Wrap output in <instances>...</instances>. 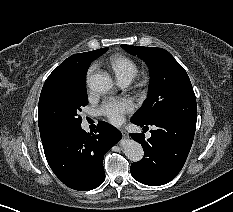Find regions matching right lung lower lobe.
<instances>
[{
	"instance_id": "obj_1",
	"label": "right lung lower lobe",
	"mask_w": 233,
	"mask_h": 212,
	"mask_svg": "<svg viewBox=\"0 0 233 212\" xmlns=\"http://www.w3.org/2000/svg\"><path fill=\"white\" fill-rule=\"evenodd\" d=\"M122 137L114 126L99 122L95 132L81 126L44 149L47 162L55 175L68 187L87 191L105 180L103 158Z\"/></svg>"
}]
</instances>
